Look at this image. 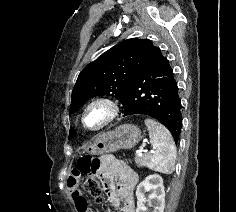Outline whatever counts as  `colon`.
<instances>
[{
	"mask_svg": "<svg viewBox=\"0 0 236 212\" xmlns=\"http://www.w3.org/2000/svg\"><path fill=\"white\" fill-rule=\"evenodd\" d=\"M78 168L85 173L81 179L83 190L96 199L102 196V187L99 177L94 171L95 160L91 157L82 158L78 163Z\"/></svg>",
	"mask_w": 236,
	"mask_h": 212,
	"instance_id": "colon-1",
	"label": "colon"
}]
</instances>
